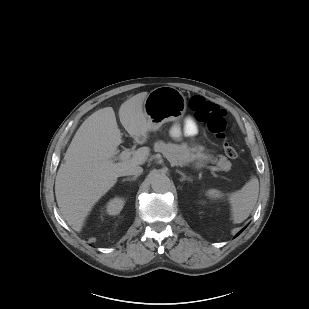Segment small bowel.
<instances>
[{
  "instance_id": "small-bowel-1",
  "label": "small bowel",
  "mask_w": 309,
  "mask_h": 309,
  "mask_svg": "<svg viewBox=\"0 0 309 309\" xmlns=\"http://www.w3.org/2000/svg\"><path fill=\"white\" fill-rule=\"evenodd\" d=\"M197 131V127L195 122L190 118H186L185 123H184V132L185 134L189 136H193ZM172 133L174 137H177L180 134V128L177 126H174L172 128Z\"/></svg>"
}]
</instances>
